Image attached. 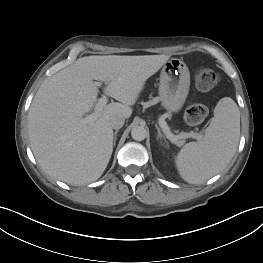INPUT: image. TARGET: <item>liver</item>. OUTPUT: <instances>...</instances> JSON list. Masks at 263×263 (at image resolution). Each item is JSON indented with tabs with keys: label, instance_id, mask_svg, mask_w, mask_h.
Segmentation results:
<instances>
[{
	"label": "liver",
	"instance_id": "liver-1",
	"mask_svg": "<svg viewBox=\"0 0 263 263\" xmlns=\"http://www.w3.org/2000/svg\"><path fill=\"white\" fill-rule=\"evenodd\" d=\"M169 55H91L47 78L39 87L28 114L31 149L38 165L52 178L72 185L96 181L113 152L111 119L129 118L131 106L146 80ZM93 80L107 83L104 92L116 99L92 124L82 122L97 101Z\"/></svg>",
	"mask_w": 263,
	"mask_h": 263
}]
</instances>
